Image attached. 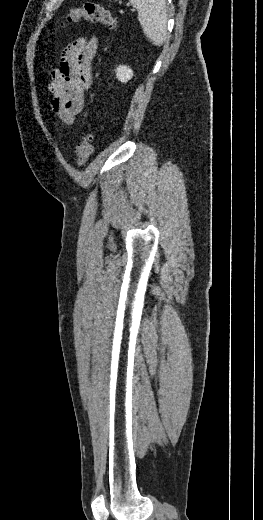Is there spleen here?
<instances>
[{
    "label": "spleen",
    "mask_w": 263,
    "mask_h": 520,
    "mask_svg": "<svg viewBox=\"0 0 263 520\" xmlns=\"http://www.w3.org/2000/svg\"><path fill=\"white\" fill-rule=\"evenodd\" d=\"M138 11V20L144 34L155 46H161L167 37V9L165 0H129Z\"/></svg>",
    "instance_id": "1"
}]
</instances>
